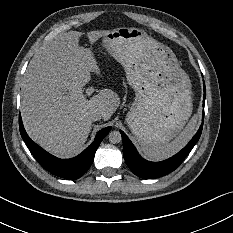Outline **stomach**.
<instances>
[{
	"label": "stomach",
	"instance_id": "0dacf381",
	"mask_svg": "<svg viewBox=\"0 0 233 233\" xmlns=\"http://www.w3.org/2000/svg\"><path fill=\"white\" fill-rule=\"evenodd\" d=\"M109 53L125 70L135 99L126 122L141 147L177 137L192 110L191 80L173 51L143 29L119 27L101 36L96 55Z\"/></svg>",
	"mask_w": 233,
	"mask_h": 233
}]
</instances>
